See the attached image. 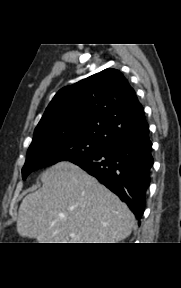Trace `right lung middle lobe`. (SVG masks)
Listing matches in <instances>:
<instances>
[{
    "mask_svg": "<svg viewBox=\"0 0 181 288\" xmlns=\"http://www.w3.org/2000/svg\"><path fill=\"white\" fill-rule=\"evenodd\" d=\"M106 146L100 141L79 135L55 136L32 141L22 169L25 180L32 171L53 165L60 161H72L77 158L96 154Z\"/></svg>",
    "mask_w": 181,
    "mask_h": 288,
    "instance_id": "obj_1",
    "label": "right lung middle lobe"
}]
</instances>
